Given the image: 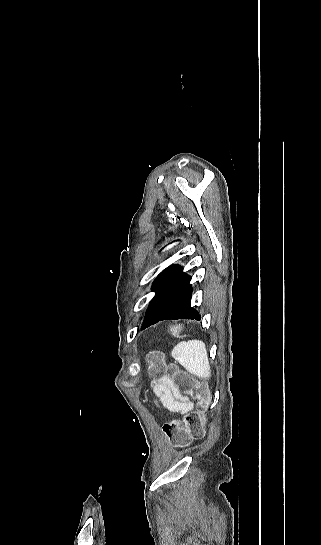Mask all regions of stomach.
Returning <instances> with one entry per match:
<instances>
[{
    "label": "stomach",
    "instance_id": "stomach-1",
    "mask_svg": "<svg viewBox=\"0 0 321 545\" xmlns=\"http://www.w3.org/2000/svg\"><path fill=\"white\" fill-rule=\"evenodd\" d=\"M182 331H183L182 325H171V327H169L170 335H172V337H177V339H179Z\"/></svg>",
    "mask_w": 321,
    "mask_h": 545
}]
</instances>
